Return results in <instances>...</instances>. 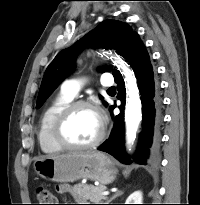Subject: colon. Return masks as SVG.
Wrapping results in <instances>:
<instances>
[{
    "instance_id": "5ec220e1",
    "label": "colon",
    "mask_w": 200,
    "mask_h": 205,
    "mask_svg": "<svg viewBox=\"0 0 200 205\" xmlns=\"http://www.w3.org/2000/svg\"><path fill=\"white\" fill-rule=\"evenodd\" d=\"M36 197L40 204L38 205H56V197L46 186H39L36 189Z\"/></svg>"
}]
</instances>
